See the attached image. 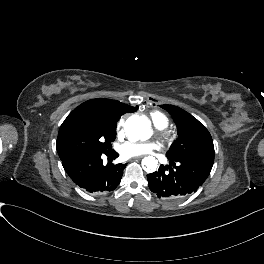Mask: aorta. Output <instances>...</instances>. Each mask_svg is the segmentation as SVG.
I'll return each instance as SVG.
<instances>
[{
  "label": "aorta",
  "instance_id": "762f6f07",
  "mask_svg": "<svg viewBox=\"0 0 264 264\" xmlns=\"http://www.w3.org/2000/svg\"><path fill=\"white\" fill-rule=\"evenodd\" d=\"M126 131L130 137L140 140H146L150 136V124L148 120L140 116H132L126 121ZM142 165L148 171H153L157 167L155 158L149 156L142 160Z\"/></svg>",
  "mask_w": 264,
  "mask_h": 264
}]
</instances>
